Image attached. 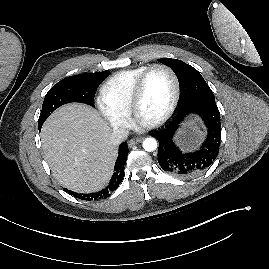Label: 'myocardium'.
I'll use <instances>...</instances> for the list:
<instances>
[{
  "label": "myocardium",
  "mask_w": 269,
  "mask_h": 269,
  "mask_svg": "<svg viewBox=\"0 0 269 269\" xmlns=\"http://www.w3.org/2000/svg\"><path fill=\"white\" fill-rule=\"evenodd\" d=\"M155 69H163L171 75L173 83H174V95H173V98L169 107L167 108V110L162 116H160L159 118L153 121H144L141 119L140 113H139L140 103H141L146 79L149 76V74ZM180 96H181V84H180V80L177 73L168 65L153 64L146 68V70L139 76L135 84V87L132 93L131 103H130V113L132 114L136 123L144 128L159 127L163 125L165 122H167L170 119V117L173 115L179 103Z\"/></svg>",
  "instance_id": "myocardium-1"
}]
</instances>
